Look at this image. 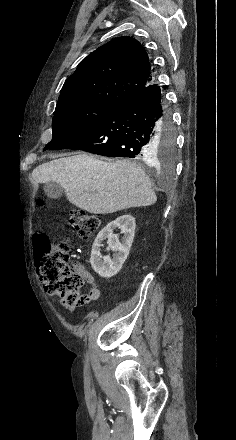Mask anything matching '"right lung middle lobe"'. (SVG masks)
I'll return each instance as SVG.
<instances>
[{
    "label": "right lung middle lobe",
    "instance_id": "dd1d6c3e",
    "mask_svg": "<svg viewBox=\"0 0 236 440\" xmlns=\"http://www.w3.org/2000/svg\"><path fill=\"white\" fill-rule=\"evenodd\" d=\"M116 105L95 101H72L57 104L53 118L52 140L44 150L58 147L70 138L86 131L113 110ZM158 156L163 163L171 162L175 137L171 130L164 131L156 141Z\"/></svg>",
    "mask_w": 236,
    "mask_h": 440
}]
</instances>
